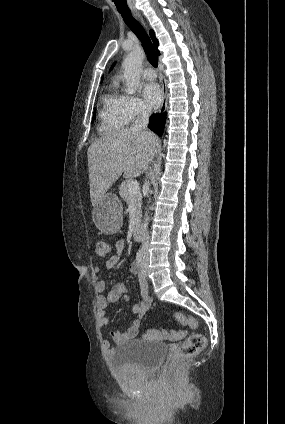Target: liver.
I'll list each match as a JSON object with an SVG mask.
<instances>
[{"mask_svg":"<svg viewBox=\"0 0 285 424\" xmlns=\"http://www.w3.org/2000/svg\"><path fill=\"white\" fill-rule=\"evenodd\" d=\"M159 140L151 132L122 128L95 140L88 148L91 203L95 206L123 174L125 178L144 173Z\"/></svg>","mask_w":285,"mask_h":424,"instance_id":"1","label":"liver"}]
</instances>
